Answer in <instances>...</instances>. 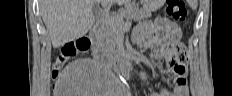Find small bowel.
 Segmentation results:
<instances>
[{
	"label": "small bowel",
	"mask_w": 232,
	"mask_h": 96,
	"mask_svg": "<svg viewBox=\"0 0 232 96\" xmlns=\"http://www.w3.org/2000/svg\"><path fill=\"white\" fill-rule=\"evenodd\" d=\"M159 15H155V20H159V22L153 23L149 20L141 21L134 31L132 30L130 33L133 35L135 43L142 45V44H149V43H160V39H166V35H171L175 30L176 26L173 25V22H168L167 16L162 15L163 13L160 11ZM177 44V43H176ZM181 47L179 44H177ZM156 57H163L162 51L156 52ZM186 60V55L184 58H179V62L183 64ZM185 67V66H184ZM172 71L175 75L174 77V89L173 95L175 96H186L187 95V83L185 78V73H175L172 67ZM142 83L146 84L145 75L142 74ZM160 96H170L171 94L166 90L163 89L160 94H155Z\"/></svg>",
	"instance_id": "obj_1"
}]
</instances>
